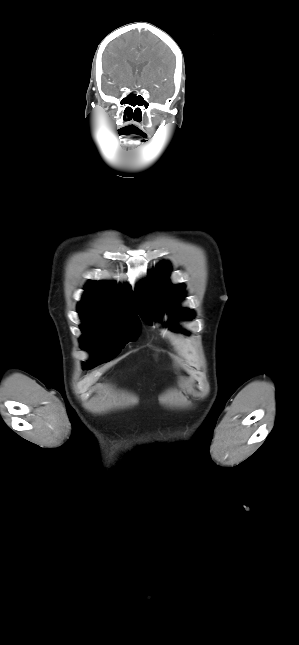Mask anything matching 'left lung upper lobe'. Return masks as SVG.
<instances>
[{
  "instance_id": "5c2ea615",
  "label": "left lung upper lobe",
  "mask_w": 299,
  "mask_h": 645,
  "mask_svg": "<svg viewBox=\"0 0 299 645\" xmlns=\"http://www.w3.org/2000/svg\"><path fill=\"white\" fill-rule=\"evenodd\" d=\"M170 272V265L167 263H162L158 265L156 269V278L154 274L150 275V278L144 282H141L136 287L135 294V304L138 309V312L141 318L148 324H152V321L157 320L152 312L156 311L162 305V299H164L165 310H169V313L172 317L182 318L184 320H189L193 317V312L189 309H181L178 305L172 306L171 303L174 300L182 297L185 287L179 285L176 287H170V281L168 275ZM171 330H178L180 327L176 323H167Z\"/></svg>"
}]
</instances>
